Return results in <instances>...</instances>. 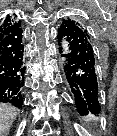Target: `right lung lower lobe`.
Returning a JSON list of instances; mask_svg holds the SVG:
<instances>
[{
  "mask_svg": "<svg viewBox=\"0 0 117 136\" xmlns=\"http://www.w3.org/2000/svg\"><path fill=\"white\" fill-rule=\"evenodd\" d=\"M20 21L0 39V102L21 108L25 82L24 46Z\"/></svg>",
  "mask_w": 117,
  "mask_h": 136,
  "instance_id": "1",
  "label": "right lung lower lobe"
}]
</instances>
